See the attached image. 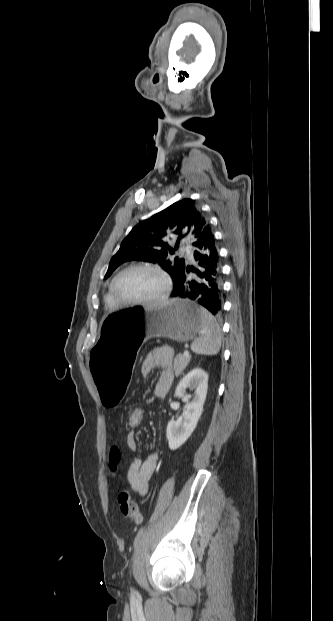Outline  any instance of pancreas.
I'll list each match as a JSON object with an SVG mask.
<instances>
[{
    "mask_svg": "<svg viewBox=\"0 0 333 621\" xmlns=\"http://www.w3.org/2000/svg\"><path fill=\"white\" fill-rule=\"evenodd\" d=\"M190 359H191L190 356L185 357L184 355H181V354H178L174 358L173 369L175 371L176 376L180 375L181 372H183V370L186 368V366L190 362Z\"/></svg>",
    "mask_w": 333,
    "mask_h": 621,
    "instance_id": "pancreas-1",
    "label": "pancreas"
}]
</instances>
